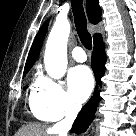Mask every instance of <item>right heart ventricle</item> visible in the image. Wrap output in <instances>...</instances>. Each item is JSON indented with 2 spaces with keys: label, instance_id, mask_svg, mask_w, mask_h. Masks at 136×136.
Listing matches in <instances>:
<instances>
[{
  "label": "right heart ventricle",
  "instance_id": "e07e8e85",
  "mask_svg": "<svg viewBox=\"0 0 136 136\" xmlns=\"http://www.w3.org/2000/svg\"><path fill=\"white\" fill-rule=\"evenodd\" d=\"M32 98H33V93L31 94L30 96V106H31V110H32V113L33 115L40 119V120H47L44 115L42 113H40L34 106H33V102H32Z\"/></svg>",
  "mask_w": 136,
  "mask_h": 136
}]
</instances>
